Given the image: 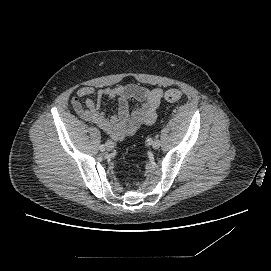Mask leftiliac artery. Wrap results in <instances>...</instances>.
Segmentation results:
<instances>
[{"mask_svg":"<svg viewBox=\"0 0 271 271\" xmlns=\"http://www.w3.org/2000/svg\"><path fill=\"white\" fill-rule=\"evenodd\" d=\"M146 143L147 145H151L153 143L152 138H147Z\"/></svg>","mask_w":271,"mask_h":271,"instance_id":"1","label":"left iliac artery"}]
</instances>
